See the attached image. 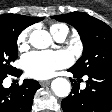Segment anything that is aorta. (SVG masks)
I'll return each instance as SVG.
<instances>
[{"instance_id": "762f6f07", "label": "aorta", "mask_w": 112, "mask_h": 112, "mask_svg": "<svg viewBox=\"0 0 112 112\" xmlns=\"http://www.w3.org/2000/svg\"><path fill=\"white\" fill-rule=\"evenodd\" d=\"M30 44L37 49H45L52 43V38L47 31L34 30L29 37ZM51 89L58 97L65 98L70 94L71 84L62 77L54 79L51 83Z\"/></svg>"}]
</instances>
